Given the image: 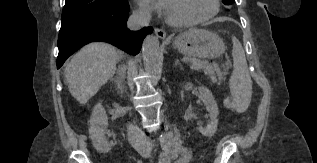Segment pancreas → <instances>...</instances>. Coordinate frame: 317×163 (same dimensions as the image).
I'll return each mask as SVG.
<instances>
[{
  "instance_id": "obj_1",
  "label": "pancreas",
  "mask_w": 317,
  "mask_h": 163,
  "mask_svg": "<svg viewBox=\"0 0 317 163\" xmlns=\"http://www.w3.org/2000/svg\"><path fill=\"white\" fill-rule=\"evenodd\" d=\"M187 61L191 63L193 70H203L212 82H217L218 78H221L222 73L219 67L215 64H209L206 61H201L196 58H187Z\"/></svg>"
}]
</instances>
